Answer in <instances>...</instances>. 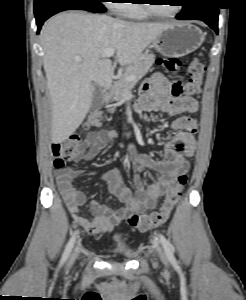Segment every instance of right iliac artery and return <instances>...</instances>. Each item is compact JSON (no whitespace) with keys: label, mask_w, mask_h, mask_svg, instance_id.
Returning <instances> with one entry per match:
<instances>
[{"label":"right iliac artery","mask_w":246,"mask_h":300,"mask_svg":"<svg viewBox=\"0 0 246 300\" xmlns=\"http://www.w3.org/2000/svg\"><path fill=\"white\" fill-rule=\"evenodd\" d=\"M77 233H78V231H76L72 235V237L70 238L68 244L66 245V249H65V251H64V253L62 255V258H61V262H60L61 264H63L68 259L69 255H70V253L72 251V248L74 246L75 236H76Z\"/></svg>","instance_id":"obj_1"}]
</instances>
